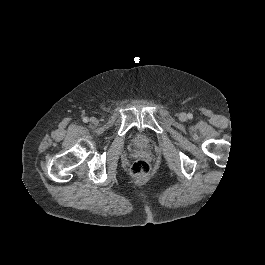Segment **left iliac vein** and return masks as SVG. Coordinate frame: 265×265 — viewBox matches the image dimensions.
Returning <instances> with one entry per match:
<instances>
[{
    "mask_svg": "<svg viewBox=\"0 0 265 265\" xmlns=\"http://www.w3.org/2000/svg\"><path fill=\"white\" fill-rule=\"evenodd\" d=\"M179 118L181 121H184V120H186L187 116L185 113H180Z\"/></svg>",
    "mask_w": 265,
    "mask_h": 265,
    "instance_id": "1",
    "label": "left iliac vein"
}]
</instances>
